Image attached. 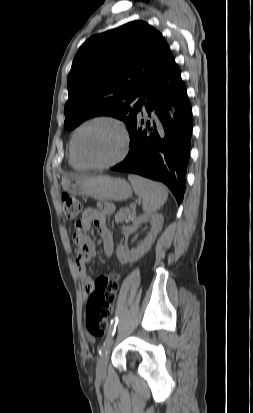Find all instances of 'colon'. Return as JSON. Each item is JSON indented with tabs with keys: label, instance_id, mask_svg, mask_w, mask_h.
Here are the masks:
<instances>
[{
	"label": "colon",
	"instance_id": "obj_1",
	"mask_svg": "<svg viewBox=\"0 0 253 413\" xmlns=\"http://www.w3.org/2000/svg\"><path fill=\"white\" fill-rule=\"evenodd\" d=\"M63 211L68 219H75L80 210V202L72 195L61 196ZM120 275L116 272L100 276L90 293L86 305V328L91 338L103 336L109 325L110 309L115 302Z\"/></svg>",
	"mask_w": 253,
	"mask_h": 413
}]
</instances>
